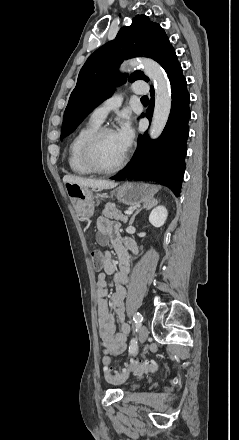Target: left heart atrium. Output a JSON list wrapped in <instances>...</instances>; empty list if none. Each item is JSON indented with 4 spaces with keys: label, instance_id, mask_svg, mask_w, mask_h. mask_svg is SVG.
Here are the masks:
<instances>
[{
    "label": "left heart atrium",
    "instance_id": "left-heart-atrium-1",
    "mask_svg": "<svg viewBox=\"0 0 239 440\" xmlns=\"http://www.w3.org/2000/svg\"><path fill=\"white\" fill-rule=\"evenodd\" d=\"M118 139L125 150H128L132 144L134 131L128 117H125L121 122L117 130L115 131Z\"/></svg>",
    "mask_w": 239,
    "mask_h": 440
}]
</instances>
